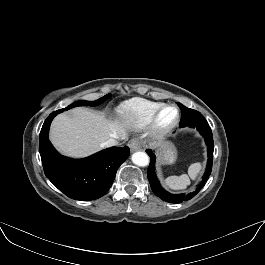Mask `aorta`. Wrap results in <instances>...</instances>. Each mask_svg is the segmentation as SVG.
<instances>
[{"label": "aorta", "mask_w": 265, "mask_h": 265, "mask_svg": "<svg viewBox=\"0 0 265 265\" xmlns=\"http://www.w3.org/2000/svg\"><path fill=\"white\" fill-rule=\"evenodd\" d=\"M132 162L135 165L145 167L149 164V156L145 152H142V151L135 152L132 155Z\"/></svg>", "instance_id": "obj_1"}]
</instances>
